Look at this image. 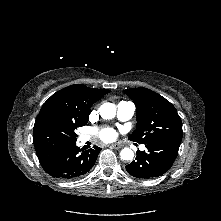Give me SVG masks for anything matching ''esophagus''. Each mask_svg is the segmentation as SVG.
<instances>
[{"label": "esophagus", "instance_id": "1", "mask_svg": "<svg viewBox=\"0 0 221 221\" xmlns=\"http://www.w3.org/2000/svg\"><path fill=\"white\" fill-rule=\"evenodd\" d=\"M110 148L118 150V149H121L122 147L118 144H112L110 145Z\"/></svg>", "mask_w": 221, "mask_h": 221}]
</instances>
